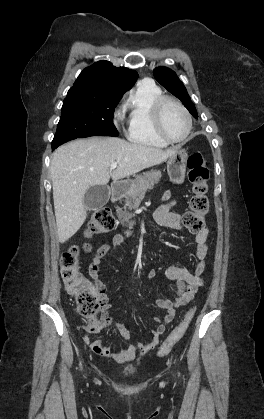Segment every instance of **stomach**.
I'll return each instance as SVG.
<instances>
[{"label": "stomach", "mask_w": 264, "mask_h": 419, "mask_svg": "<svg viewBox=\"0 0 264 419\" xmlns=\"http://www.w3.org/2000/svg\"><path fill=\"white\" fill-rule=\"evenodd\" d=\"M187 165V152L185 149L176 148L175 153L167 161V172L170 181L174 184L184 182Z\"/></svg>", "instance_id": "stomach-1"}]
</instances>
